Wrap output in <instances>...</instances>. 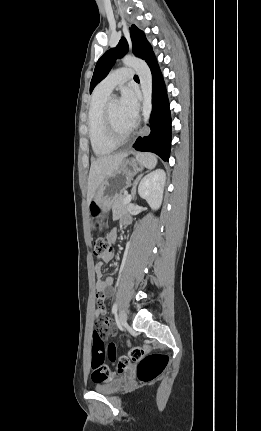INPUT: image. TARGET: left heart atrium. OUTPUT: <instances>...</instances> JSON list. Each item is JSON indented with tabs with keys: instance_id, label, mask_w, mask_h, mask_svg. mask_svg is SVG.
Listing matches in <instances>:
<instances>
[{
	"instance_id": "left-heart-atrium-1",
	"label": "left heart atrium",
	"mask_w": 261,
	"mask_h": 431,
	"mask_svg": "<svg viewBox=\"0 0 261 431\" xmlns=\"http://www.w3.org/2000/svg\"><path fill=\"white\" fill-rule=\"evenodd\" d=\"M119 107L124 120L132 128L137 121L139 109L136 93L132 89L122 90Z\"/></svg>"
}]
</instances>
